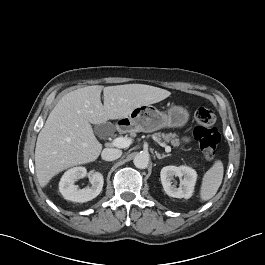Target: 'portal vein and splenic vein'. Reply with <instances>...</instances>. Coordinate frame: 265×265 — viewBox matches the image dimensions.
<instances>
[{"label": "portal vein and splenic vein", "mask_w": 265, "mask_h": 265, "mask_svg": "<svg viewBox=\"0 0 265 265\" xmlns=\"http://www.w3.org/2000/svg\"><path fill=\"white\" fill-rule=\"evenodd\" d=\"M132 144V139L128 137H117L112 141V145L117 148H127ZM165 151L170 152L171 147L165 146Z\"/></svg>", "instance_id": "obj_1"}]
</instances>
